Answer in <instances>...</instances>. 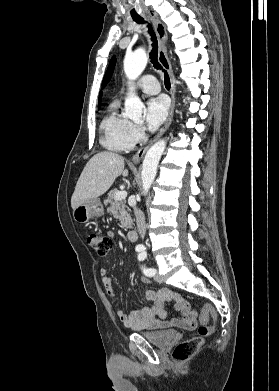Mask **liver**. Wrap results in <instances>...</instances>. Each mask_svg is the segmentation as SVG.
<instances>
[{
  "label": "liver",
  "instance_id": "6515ba94",
  "mask_svg": "<svg viewBox=\"0 0 279 391\" xmlns=\"http://www.w3.org/2000/svg\"><path fill=\"white\" fill-rule=\"evenodd\" d=\"M121 174L128 176L121 155L108 151L94 155L87 162L77 181L71 198L72 209L103 195Z\"/></svg>",
  "mask_w": 279,
  "mask_h": 391
}]
</instances>
